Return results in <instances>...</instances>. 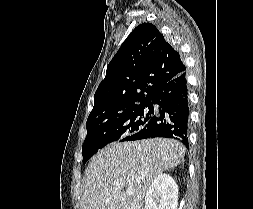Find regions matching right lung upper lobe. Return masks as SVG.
Listing matches in <instances>:
<instances>
[{"instance_id":"1","label":"right lung upper lobe","mask_w":253,"mask_h":209,"mask_svg":"<svg viewBox=\"0 0 253 209\" xmlns=\"http://www.w3.org/2000/svg\"><path fill=\"white\" fill-rule=\"evenodd\" d=\"M186 67L177 52L151 23L137 26L107 66L88 117L119 113L150 103Z\"/></svg>"}]
</instances>
